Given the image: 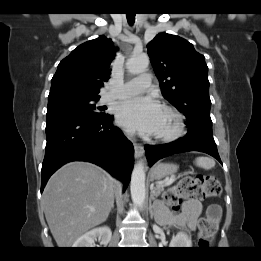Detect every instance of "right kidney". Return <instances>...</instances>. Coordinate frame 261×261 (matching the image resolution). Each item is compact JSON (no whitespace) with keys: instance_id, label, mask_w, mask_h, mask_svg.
<instances>
[{"instance_id":"ca27d5eb","label":"right kidney","mask_w":261,"mask_h":261,"mask_svg":"<svg viewBox=\"0 0 261 261\" xmlns=\"http://www.w3.org/2000/svg\"><path fill=\"white\" fill-rule=\"evenodd\" d=\"M100 239L101 243L106 246L111 238H112V232L111 229L107 226L94 228L82 236H80L72 245L74 248H90L94 246V241L96 239Z\"/></svg>"}]
</instances>
